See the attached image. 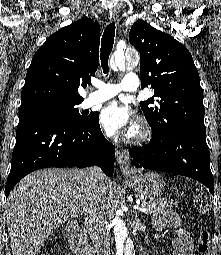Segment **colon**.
Here are the masks:
<instances>
[{"label":"colon","instance_id":"1","mask_svg":"<svg viewBox=\"0 0 221 255\" xmlns=\"http://www.w3.org/2000/svg\"><path fill=\"white\" fill-rule=\"evenodd\" d=\"M196 208L201 214H207L209 211V202L205 194H198L194 198ZM210 233L207 230L200 231L197 242V254H210Z\"/></svg>","mask_w":221,"mask_h":255}]
</instances>
